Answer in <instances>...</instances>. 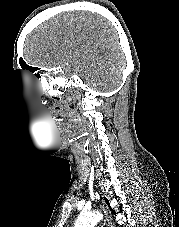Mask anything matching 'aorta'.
Wrapping results in <instances>:
<instances>
[{
    "instance_id": "obj_1",
    "label": "aorta",
    "mask_w": 179,
    "mask_h": 227,
    "mask_svg": "<svg viewBox=\"0 0 179 227\" xmlns=\"http://www.w3.org/2000/svg\"><path fill=\"white\" fill-rule=\"evenodd\" d=\"M103 218L98 211L81 212L75 221L74 227H95V225Z\"/></svg>"
}]
</instances>
